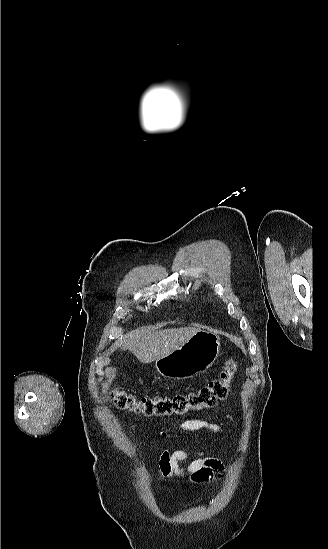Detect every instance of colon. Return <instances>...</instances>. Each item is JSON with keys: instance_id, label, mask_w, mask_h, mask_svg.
Here are the masks:
<instances>
[{"instance_id": "colon-1", "label": "colon", "mask_w": 328, "mask_h": 549, "mask_svg": "<svg viewBox=\"0 0 328 549\" xmlns=\"http://www.w3.org/2000/svg\"><path fill=\"white\" fill-rule=\"evenodd\" d=\"M237 370V363L230 359L220 376L198 391L174 396L135 397L120 389L110 393L111 402L118 408L141 412L145 415L165 416L198 411L217 404L226 398Z\"/></svg>"}]
</instances>
